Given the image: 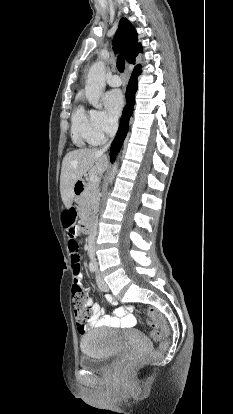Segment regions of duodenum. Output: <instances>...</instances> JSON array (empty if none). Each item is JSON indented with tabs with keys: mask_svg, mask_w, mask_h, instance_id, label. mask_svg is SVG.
I'll return each mask as SVG.
<instances>
[{
	"mask_svg": "<svg viewBox=\"0 0 233 414\" xmlns=\"http://www.w3.org/2000/svg\"><path fill=\"white\" fill-rule=\"evenodd\" d=\"M85 189L84 182L82 180H77L73 185V194L75 196L80 195ZM93 229V223L91 218H87L83 222V230L86 233H90Z\"/></svg>",
	"mask_w": 233,
	"mask_h": 414,
	"instance_id": "duodenum-1",
	"label": "duodenum"
}]
</instances>
